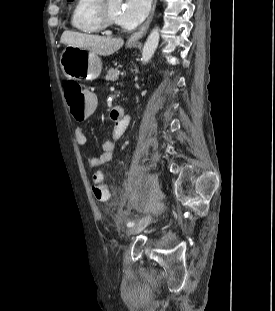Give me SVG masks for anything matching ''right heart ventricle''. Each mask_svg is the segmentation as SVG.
<instances>
[{"mask_svg":"<svg viewBox=\"0 0 275 311\" xmlns=\"http://www.w3.org/2000/svg\"><path fill=\"white\" fill-rule=\"evenodd\" d=\"M100 0H75L71 12V26L76 31L85 34H100L103 32L96 10Z\"/></svg>","mask_w":275,"mask_h":311,"instance_id":"obj_1","label":"right heart ventricle"}]
</instances>
